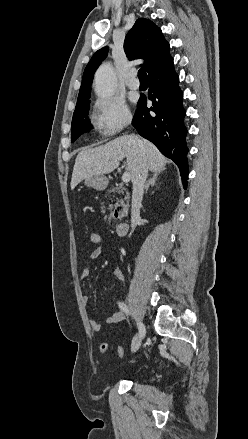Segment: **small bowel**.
<instances>
[{
	"label": "small bowel",
	"mask_w": 248,
	"mask_h": 439,
	"mask_svg": "<svg viewBox=\"0 0 248 439\" xmlns=\"http://www.w3.org/2000/svg\"><path fill=\"white\" fill-rule=\"evenodd\" d=\"M102 253H103V248L102 247H97L96 249H94L90 253L89 259H88V261H87L86 265L84 266V268L82 270V273H81V278L82 279H85V278H87L89 276L91 261L99 258L102 255ZM113 276H114L115 279H117L120 282H123V280H124L123 273H122L121 269H119V268H115L113 270ZM83 300H84L85 303H87L89 298L87 296H84ZM124 320H125V314L122 312V309H121V310H117L110 317H108L105 320V323L106 324H116V323H120V322H122ZM89 323H90L91 329L94 330V331H99L102 328V325L99 322L95 321V320H90Z\"/></svg>",
	"instance_id": "1"
}]
</instances>
